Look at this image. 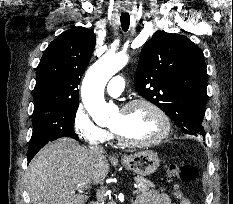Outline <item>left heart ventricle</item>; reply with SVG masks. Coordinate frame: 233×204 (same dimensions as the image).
Listing matches in <instances>:
<instances>
[{
    "label": "left heart ventricle",
    "instance_id": "left-heart-ventricle-1",
    "mask_svg": "<svg viewBox=\"0 0 233 204\" xmlns=\"http://www.w3.org/2000/svg\"><path fill=\"white\" fill-rule=\"evenodd\" d=\"M110 127L131 141L150 140L163 128L158 116L145 106H137L129 111L119 110Z\"/></svg>",
    "mask_w": 233,
    "mask_h": 204
}]
</instances>
